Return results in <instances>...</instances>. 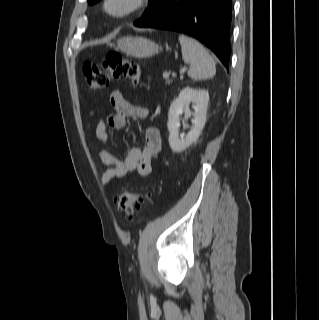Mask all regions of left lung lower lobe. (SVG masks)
<instances>
[{"mask_svg":"<svg viewBox=\"0 0 319 320\" xmlns=\"http://www.w3.org/2000/svg\"><path fill=\"white\" fill-rule=\"evenodd\" d=\"M232 0H163L134 22L192 36L210 48L228 69Z\"/></svg>","mask_w":319,"mask_h":320,"instance_id":"obj_1","label":"left lung lower lobe"}]
</instances>
